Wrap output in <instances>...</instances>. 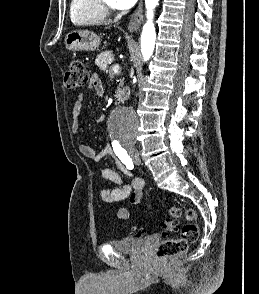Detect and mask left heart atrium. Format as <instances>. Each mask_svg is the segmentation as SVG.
<instances>
[{
  "label": "left heart atrium",
  "instance_id": "obj_1",
  "mask_svg": "<svg viewBox=\"0 0 259 294\" xmlns=\"http://www.w3.org/2000/svg\"><path fill=\"white\" fill-rule=\"evenodd\" d=\"M137 0H113L114 5L118 9H128L131 8Z\"/></svg>",
  "mask_w": 259,
  "mask_h": 294
}]
</instances>
